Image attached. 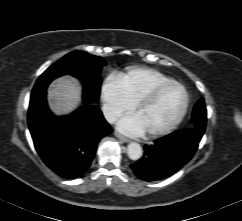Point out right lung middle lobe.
<instances>
[{"instance_id": "1", "label": "right lung middle lobe", "mask_w": 242, "mask_h": 221, "mask_svg": "<svg viewBox=\"0 0 242 221\" xmlns=\"http://www.w3.org/2000/svg\"><path fill=\"white\" fill-rule=\"evenodd\" d=\"M106 65L102 57L83 51H74L50 66L36 81L31 95L46 91L49 83L64 74H69L84 82L83 96L98 99L100 94V71Z\"/></svg>"}]
</instances>
